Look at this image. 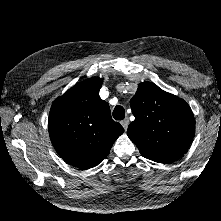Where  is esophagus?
<instances>
[{"label": "esophagus", "instance_id": "obj_1", "mask_svg": "<svg viewBox=\"0 0 221 221\" xmlns=\"http://www.w3.org/2000/svg\"><path fill=\"white\" fill-rule=\"evenodd\" d=\"M121 125L123 126V128L126 130L128 125H129V120L128 118H125L123 121H121Z\"/></svg>", "mask_w": 221, "mask_h": 221}]
</instances>
